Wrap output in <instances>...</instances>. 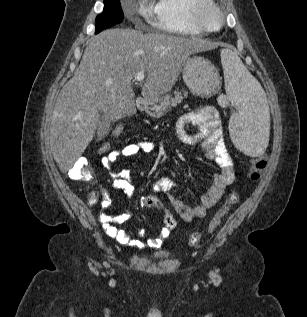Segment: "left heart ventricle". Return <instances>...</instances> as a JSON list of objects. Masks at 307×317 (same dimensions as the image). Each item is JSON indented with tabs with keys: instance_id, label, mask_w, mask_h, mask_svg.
<instances>
[{
	"instance_id": "1",
	"label": "left heart ventricle",
	"mask_w": 307,
	"mask_h": 317,
	"mask_svg": "<svg viewBox=\"0 0 307 317\" xmlns=\"http://www.w3.org/2000/svg\"><path fill=\"white\" fill-rule=\"evenodd\" d=\"M206 21L211 27H215L218 23L217 16L212 11L206 13Z\"/></svg>"
}]
</instances>
